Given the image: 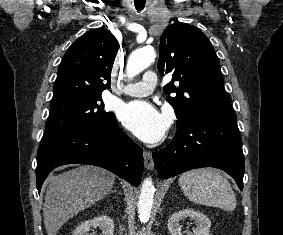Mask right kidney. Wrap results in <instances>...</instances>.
<instances>
[{"label": "right kidney", "instance_id": "obj_1", "mask_svg": "<svg viewBox=\"0 0 283 235\" xmlns=\"http://www.w3.org/2000/svg\"><path fill=\"white\" fill-rule=\"evenodd\" d=\"M96 227L101 230L100 235H113L114 222L106 215L98 216L83 222L73 231L72 235H89L88 232L90 229Z\"/></svg>", "mask_w": 283, "mask_h": 235}]
</instances>
